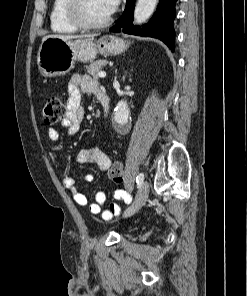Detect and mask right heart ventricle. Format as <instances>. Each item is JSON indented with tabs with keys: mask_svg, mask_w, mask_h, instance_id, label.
<instances>
[{
	"mask_svg": "<svg viewBox=\"0 0 247 296\" xmlns=\"http://www.w3.org/2000/svg\"><path fill=\"white\" fill-rule=\"evenodd\" d=\"M67 2L68 0H53L52 3L50 26L54 32L59 34H71L78 30L66 16Z\"/></svg>",
	"mask_w": 247,
	"mask_h": 296,
	"instance_id": "1",
	"label": "right heart ventricle"
}]
</instances>
